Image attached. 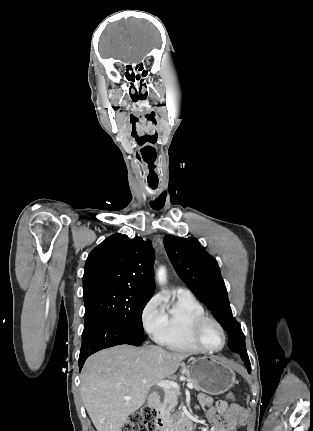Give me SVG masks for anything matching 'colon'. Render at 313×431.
<instances>
[{"instance_id": "5ec220e1", "label": "colon", "mask_w": 313, "mask_h": 431, "mask_svg": "<svg viewBox=\"0 0 313 431\" xmlns=\"http://www.w3.org/2000/svg\"><path fill=\"white\" fill-rule=\"evenodd\" d=\"M226 398L235 399L233 392H228ZM157 413L153 407L144 406L133 413L122 426L121 431H157Z\"/></svg>"}]
</instances>
